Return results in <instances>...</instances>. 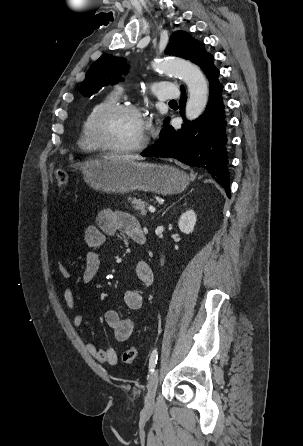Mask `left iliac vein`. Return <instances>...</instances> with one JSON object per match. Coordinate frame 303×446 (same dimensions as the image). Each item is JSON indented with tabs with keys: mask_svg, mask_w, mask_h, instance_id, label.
Wrapping results in <instances>:
<instances>
[{
	"mask_svg": "<svg viewBox=\"0 0 303 446\" xmlns=\"http://www.w3.org/2000/svg\"><path fill=\"white\" fill-rule=\"evenodd\" d=\"M158 369H156L150 376L148 384H147V394L145 397V407L146 409L150 410L153 407L154 399H155V393L157 390L158 385Z\"/></svg>",
	"mask_w": 303,
	"mask_h": 446,
	"instance_id": "left-iliac-vein-1",
	"label": "left iliac vein"
}]
</instances>
